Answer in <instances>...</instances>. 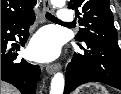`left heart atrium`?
I'll list each match as a JSON object with an SVG mask.
<instances>
[{"mask_svg":"<svg viewBox=\"0 0 121 94\" xmlns=\"http://www.w3.org/2000/svg\"><path fill=\"white\" fill-rule=\"evenodd\" d=\"M59 52V38L53 31L45 29L34 37L27 55L34 60L47 61L56 58Z\"/></svg>","mask_w":121,"mask_h":94,"instance_id":"1","label":"left heart atrium"}]
</instances>
